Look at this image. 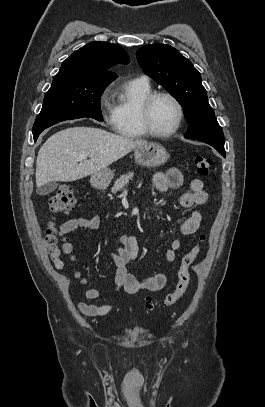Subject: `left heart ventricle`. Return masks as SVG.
Instances as JSON below:
<instances>
[{
  "label": "left heart ventricle",
  "mask_w": 265,
  "mask_h": 407,
  "mask_svg": "<svg viewBox=\"0 0 265 407\" xmlns=\"http://www.w3.org/2000/svg\"><path fill=\"white\" fill-rule=\"evenodd\" d=\"M178 118V109L175 103L168 97H158L151 109V121L153 127L161 132L174 127Z\"/></svg>",
  "instance_id": "1"
}]
</instances>
